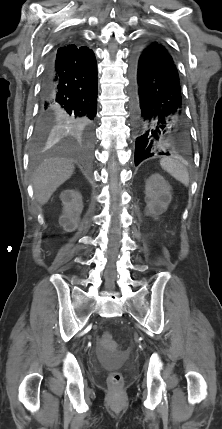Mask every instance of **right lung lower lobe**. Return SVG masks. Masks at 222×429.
Returning a JSON list of instances; mask_svg holds the SVG:
<instances>
[{
	"instance_id": "obj_1",
	"label": "right lung lower lobe",
	"mask_w": 222,
	"mask_h": 429,
	"mask_svg": "<svg viewBox=\"0 0 222 429\" xmlns=\"http://www.w3.org/2000/svg\"><path fill=\"white\" fill-rule=\"evenodd\" d=\"M79 47V46H77ZM97 110V65L94 53L67 45L47 61L36 128L89 135Z\"/></svg>"
}]
</instances>
